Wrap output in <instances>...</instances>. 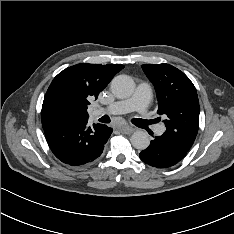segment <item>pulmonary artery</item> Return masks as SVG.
Masks as SVG:
<instances>
[{"label":"pulmonary artery","instance_id":"obj_1","mask_svg":"<svg viewBox=\"0 0 234 234\" xmlns=\"http://www.w3.org/2000/svg\"><path fill=\"white\" fill-rule=\"evenodd\" d=\"M151 98V88L150 85L143 82L140 83L137 87L135 94L125 100H120L112 103L107 106L103 111H106L110 114H122L129 112L131 110H137L142 118L148 119V104ZM164 131L163 126H159L156 129L158 134H162Z\"/></svg>","mask_w":234,"mask_h":234}]
</instances>
